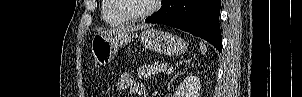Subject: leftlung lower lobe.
Masks as SVG:
<instances>
[{
    "label": "left lung lower lobe",
    "instance_id": "left-lung-lower-lobe-1",
    "mask_svg": "<svg viewBox=\"0 0 302 97\" xmlns=\"http://www.w3.org/2000/svg\"><path fill=\"white\" fill-rule=\"evenodd\" d=\"M221 0H164L145 22L173 26L199 36L222 51L219 14Z\"/></svg>",
    "mask_w": 302,
    "mask_h": 97
}]
</instances>
